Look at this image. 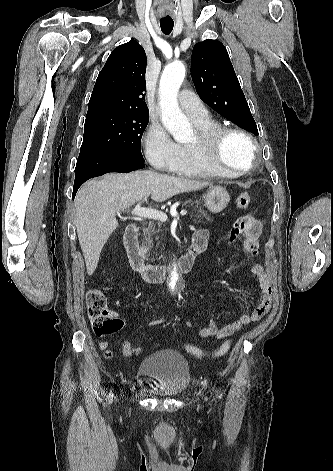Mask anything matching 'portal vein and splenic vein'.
<instances>
[{
    "mask_svg": "<svg viewBox=\"0 0 333 471\" xmlns=\"http://www.w3.org/2000/svg\"><path fill=\"white\" fill-rule=\"evenodd\" d=\"M149 195L150 194L145 195L144 200H146ZM131 213L133 215L144 217V218L160 220L161 222H165L168 219L167 215L164 212L151 209V208L141 207V203H138ZM180 214L184 216L187 214V211L181 210Z\"/></svg>",
    "mask_w": 333,
    "mask_h": 471,
    "instance_id": "obj_1",
    "label": "portal vein and splenic vein"
}]
</instances>
